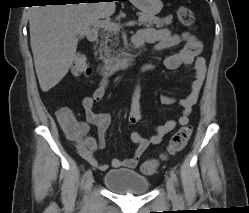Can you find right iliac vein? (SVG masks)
I'll list each match as a JSON object with an SVG mask.
<instances>
[{
    "label": "right iliac vein",
    "instance_id": "63e3f726",
    "mask_svg": "<svg viewBox=\"0 0 249 213\" xmlns=\"http://www.w3.org/2000/svg\"><path fill=\"white\" fill-rule=\"evenodd\" d=\"M93 182H94L93 176L92 175L88 176L86 180V186H85L86 193L90 192Z\"/></svg>",
    "mask_w": 249,
    "mask_h": 213
}]
</instances>
